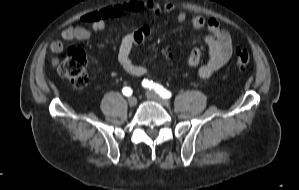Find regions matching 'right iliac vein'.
Returning <instances> with one entry per match:
<instances>
[{
  "instance_id": "1",
  "label": "right iliac vein",
  "mask_w": 299,
  "mask_h": 190,
  "mask_svg": "<svg viewBox=\"0 0 299 190\" xmlns=\"http://www.w3.org/2000/svg\"><path fill=\"white\" fill-rule=\"evenodd\" d=\"M128 103H129V105L132 106V107L135 106V105L137 104V98L134 97V96L129 97V98H128Z\"/></svg>"
}]
</instances>
